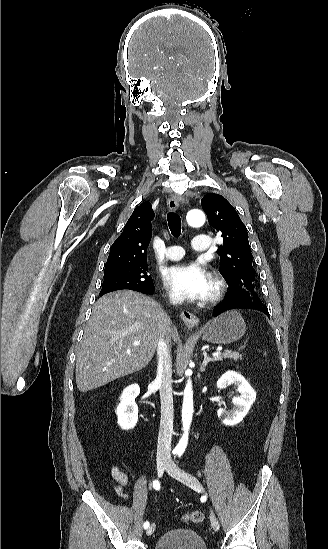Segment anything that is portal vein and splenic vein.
Here are the masks:
<instances>
[{
    "label": "portal vein and splenic vein",
    "mask_w": 328,
    "mask_h": 549,
    "mask_svg": "<svg viewBox=\"0 0 328 549\" xmlns=\"http://www.w3.org/2000/svg\"><path fill=\"white\" fill-rule=\"evenodd\" d=\"M134 347H138L140 345V341H134L133 343ZM221 355V350H218V353H213V357H219Z\"/></svg>",
    "instance_id": "portal-vein-and-splenic-vein-1"
}]
</instances>
